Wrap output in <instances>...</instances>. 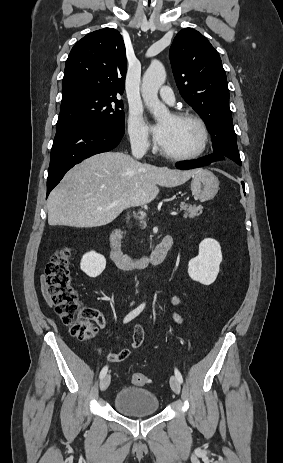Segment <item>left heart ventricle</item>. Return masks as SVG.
Wrapping results in <instances>:
<instances>
[{"label": "left heart ventricle", "mask_w": 283, "mask_h": 463, "mask_svg": "<svg viewBox=\"0 0 283 463\" xmlns=\"http://www.w3.org/2000/svg\"><path fill=\"white\" fill-rule=\"evenodd\" d=\"M166 136L160 148L172 154H188L196 151L201 143L199 127L190 120H175L171 116L162 119Z\"/></svg>", "instance_id": "1"}]
</instances>
